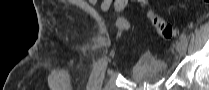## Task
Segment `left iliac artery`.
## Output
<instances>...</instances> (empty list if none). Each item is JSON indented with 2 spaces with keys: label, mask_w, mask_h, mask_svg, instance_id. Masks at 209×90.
Wrapping results in <instances>:
<instances>
[{
  "label": "left iliac artery",
  "mask_w": 209,
  "mask_h": 90,
  "mask_svg": "<svg viewBox=\"0 0 209 90\" xmlns=\"http://www.w3.org/2000/svg\"><path fill=\"white\" fill-rule=\"evenodd\" d=\"M180 35H182V36H181V40H182L184 43H186V45H187V44H188V41H187L186 36L183 35V32H180Z\"/></svg>",
  "instance_id": "44dca946"
}]
</instances>
